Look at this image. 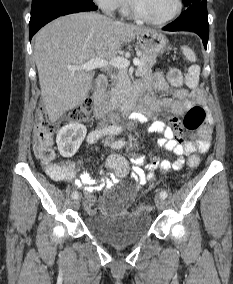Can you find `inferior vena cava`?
I'll return each instance as SVG.
<instances>
[{"label": "inferior vena cava", "mask_w": 233, "mask_h": 284, "mask_svg": "<svg viewBox=\"0 0 233 284\" xmlns=\"http://www.w3.org/2000/svg\"><path fill=\"white\" fill-rule=\"evenodd\" d=\"M106 125H107V123H106L105 120H102V121L99 123V126H100V127H104V126H106Z\"/></svg>", "instance_id": "1"}]
</instances>
